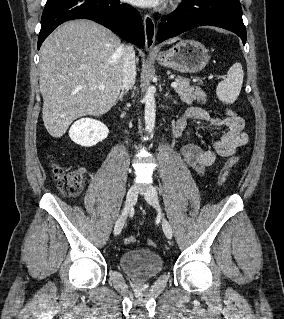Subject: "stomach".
I'll return each mask as SVG.
<instances>
[{
	"label": "stomach",
	"instance_id": "stomach-1",
	"mask_svg": "<svg viewBox=\"0 0 284 319\" xmlns=\"http://www.w3.org/2000/svg\"><path fill=\"white\" fill-rule=\"evenodd\" d=\"M208 49L195 40H180L166 52L156 55L158 63L181 73H196L209 61Z\"/></svg>",
	"mask_w": 284,
	"mask_h": 319
}]
</instances>
